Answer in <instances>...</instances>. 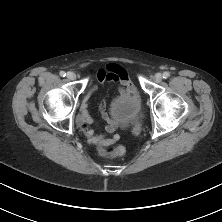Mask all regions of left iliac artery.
<instances>
[{
    "mask_svg": "<svg viewBox=\"0 0 222 222\" xmlns=\"http://www.w3.org/2000/svg\"><path fill=\"white\" fill-rule=\"evenodd\" d=\"M170 76L169 72H164L163 73V78L167 79Z\"/></svg>",
    "mask_w": 222,
    "mask_h": 222,
    "instance_id": "44dca946",
    "label": "left iliac artery"
}]
</instances>
